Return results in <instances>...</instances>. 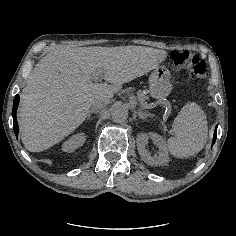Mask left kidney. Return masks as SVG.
I'll return each instance as SVG.
<instances>
[{
  "label": "left kidney",
  "instance_id": "5707ae66",
  "mask_svg": "<svg viewBox=\"0 0 236 236\" xmlns=\"http://www.w3.org/2000/svg\"><path fill=\"white\" fill-rule=\"evenodd\" d=\"M151 139L155 144L158 145L160 151L158 155L151 156L148 150L145 148L147 144V135L144 133L138 134L136 138L138 152L142 160L149 165H164L169 162L168 149L162 139L158 134H151Z\"/></svg>",
  "mask_w": 236,
  "mask_h": 236
}]
</instances>
